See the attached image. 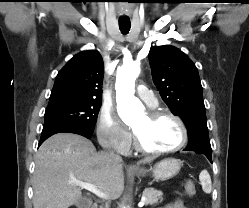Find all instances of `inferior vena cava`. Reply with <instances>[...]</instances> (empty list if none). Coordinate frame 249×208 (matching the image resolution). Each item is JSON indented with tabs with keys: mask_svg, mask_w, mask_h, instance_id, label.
Masks as SVG:
<instances>
[{
	"mask_svg": "<svg viewBox=\"0 0 249 208\" xmlns=\"http://www.w3.org/2000/svg\"><path fill=\"white\" fill-rule=\"evenodd\" d=\"M103 155L110 161L121 162L122 158L120 155L116 154L111 148H108L103 152Z\"/></svg>",
	"mask_w": 249,
	"mask_h": 208,
	"instance_id": "obj_1",
	"label": "inferior vena cava"
}]
</instances>
